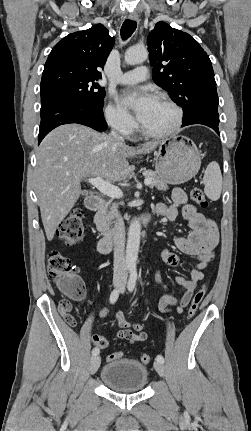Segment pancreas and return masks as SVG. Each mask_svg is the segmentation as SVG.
<instances>
[{
    "label": "pancreas",
    "instance_id": "1",
    "mask_svg": "<svg viewBox=\"0 0 251 431\" xmlns=\"http://www.w3.org/2000/svg\"><path fill=\"white\" fill-rule=\"evenodd\" d=\"M146 178H151L152 182L149 185L150 188L156 187L158 190H167V184L157 175L156 172L152 170H147L144 172ZM118 203L114 202L112 204L106 205L102 208L98 214V225L100 226L103 235L109 236L112 233L111 225L113 223V219L118 215Z\"/></svg>",
    "mask_w": 251,
    "mask_h": 431
}]
</instances>
